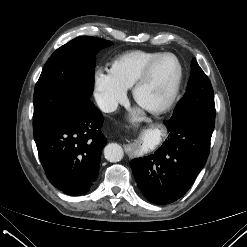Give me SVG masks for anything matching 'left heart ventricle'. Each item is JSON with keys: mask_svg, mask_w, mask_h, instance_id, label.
<instances>
[{"mask_svg": "<svg viewBox=\"0 0 247 247\" xmlns=\"http://www.w3.org/2000/svg\"><path fill=\"white\" fill-rule=\"evenodd\" d=\"M177 71V64L173 58L161 59L140 90L139 96L142 103L155 105L163 102L173 88Z\"/></svg>", "mask_w": 247, "mask_h": 247, "instance_id": "1", "label": "left heart ventricle"}]
</instances>
